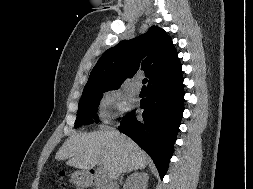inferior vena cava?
Returning a JSON list of instances; mask_svg holds the SVG:
<instances>
[{"label":"inferior vena cava","mask_w":253,"mask_h":189,"mask_svg":"<svg viewBox=\"0 0 253 189\" xmlns=\"http://www.w3.org/2000/svg\"><path fill=\"white\" fill-rule=\"evenodd\" d=\"M119 175H120V174H117V177H118ZM109 189H118L117 182L110 183Z\"/></svg>","instance_id":"602c4592"}]
</instances>
